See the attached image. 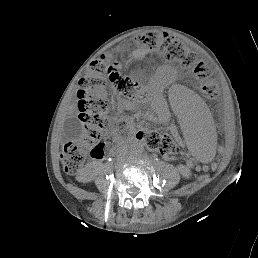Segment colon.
Returning a JSON list of instances; mask_svg holds the SVG:
<instances>
[{
    "mask_svg": "<svg viewBox=\"0 0 258 258\" xmlns=\"http://www.w3.org/2000/svg\"><path fill=\"white\" fill-rule=\"evenodd\" d=\"M136 44L148 50L160 48L166 52L169 59L178 61L186 67L192 66L195 77L201 82V93L209 99L218 95V88L210 78L209 68L203 62H198L193 52L185 51L182 44L174 37L145 32L136 38ZM109 83L126 96L131 95L136 88L135 81L116 68L112 52H106L93 61L87 74L80 81L77 99L86 139L84 145L68 143L65 146L62 162L67 173L73 174L81 167L87 148L90 153L103 155L111 144V140L104 136V131L110 126L106 115L108 109L106 89ZM140 134L144 144L151 150L162 155H173L178 152L177 142L166 134L157 130H143Z\"/></svg>",
    "mask_w": 258,
    "mask_h": 258,
    "instance_id": "5ec220e1",
    "label": "colon"
}]
</instances>
